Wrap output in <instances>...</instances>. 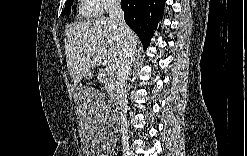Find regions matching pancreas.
Listing matches in <instances>:
<instances>
[{
	"mask_svg": "<svg viewBox=\"0 0 247 156\" xmlns=\"http://www.w3.org/2000/svg\"><path fill=\"white\" fill-rule=\"evenodd\" d=\"M113 78L114 76L112 74L101 72L99 74V80L105 84V89L110 92L112 90L113 85Z\"/></svg>",
	"mask_w": 247,
	"mask_h": 156,
	"instance_id": "1",
	"label": "pancreas"
}]
</instances>
